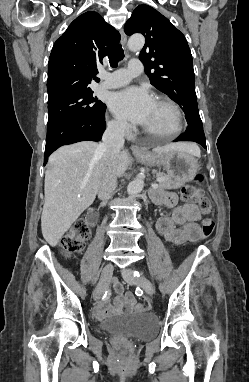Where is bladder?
<instances>
[{"label": "bladder", "mask_w": 249, "mask_h": 382, "mask_svg": "<svg viewBox=\"0 0 249 382\" xmlns=\"http://www.w3.org/2000/svg\"><path fill=\"white\" fill-rule=\"evenodd\" d=\"M98 329L103 333L151 339L157 334L158 320L154 315L145 312L111 316L101 321Z\"/></svg>", "instance_id": "1"}]
</instances>
